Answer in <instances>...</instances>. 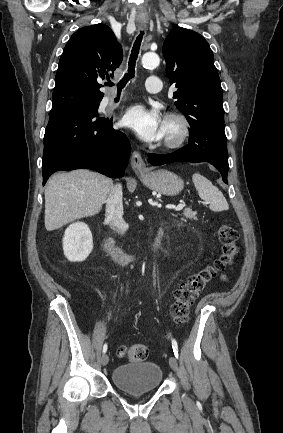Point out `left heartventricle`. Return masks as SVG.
Here are the masks:
<instances>
[{
    "instance_id": "1",
    "label": "left heart ventricle",
    "mask_w": 283,
    "mask_h": 433,
    "mask_svg": "<svg viewBox=\"0 0 283 433\" xmlns=\"http://www.w3.org/2000/svg\"><path fill=\"white\" fill-rule=\"evenodd\" d=\"M164 126H165V136L176 135L179 131V125L175 121L164 120Z\"/></svg>"
}]
</instances>
